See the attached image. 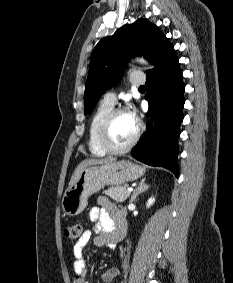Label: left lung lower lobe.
I'll list each match as a JSON object with an SVG mask.
<instances>
[{"instance_id":"obj_1","label":"left lung lower lobe","mask_w":233,"mask_h":283,"mask_svg":"<svg viewBox=\"0 0 233 283\" xmlns=\"http://www.w3.org/2000/svg\"><path fill=\"white\" fill-rule=\"evenodd\" d=\"M146 100L155 115V129L142 135L132 156L151 166H162L179 176L177 165L180 123L183 120L184 84L173 46L147 73Z\"/></svg>"}]
</instances>
